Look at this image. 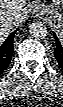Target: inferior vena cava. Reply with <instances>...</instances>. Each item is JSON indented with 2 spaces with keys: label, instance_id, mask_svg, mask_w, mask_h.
I'll list each match as a JSON object with an SVG mask.
<instances>
[{
  "label": "inferior vena cava",
  "instance_id": "1",
  "mask_svg": "<svg viewBox=\"0 0 63 107\" xmlns=\"http://www.w3.org/2000/svg\"><path fill=\"white\" fill-rule=\"evenodd\" d=\"M7 22H8L10 25H14V24L16 23V17L10 16V17L7 19Z\"/></svg>",
  "mask_w": 63,
  "mask_h": 107
}]
</instances>
